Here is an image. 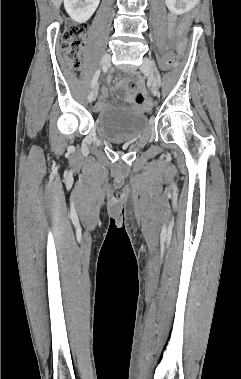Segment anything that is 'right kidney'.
I'll return each mask as SVG.
<instances>
[{
  "label": "right kidney",
  "instance_id": "ca27d5eb",
  "mask_svg": "<svg viewBox=\"0 0 241 379\" xmlns=\"http://www.w3.org/2000/svg\"><path fill=\"white\" fill-rule=\"evenodd\" d=\"M100 0H64V7L69 16L78 23H85L91 18Z\"/></svg>",
  "mask_w": 241,
  "mask_h": 379
}]
</instances>
